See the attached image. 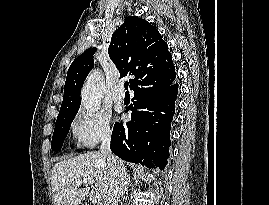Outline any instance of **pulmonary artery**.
<instances>
[{
    "instance_id": "e3ab8cb5",
    "label": "pulmonary artery",
    "mask_w": 269,
    "mask_h": 205,
    "mask_svg": "<svg viewBox=\"0 0 269 205\" xmlns=\"http://www.w3.org/2000/svg\"><path fill=\"white\" fill-rule=\"evenodd\" d=\"M125 99L124 87L122 83H119L113 94V100L117 103H122Z\"/></svg>"
}]
</instances>
